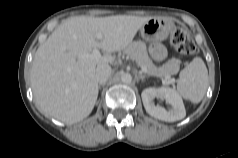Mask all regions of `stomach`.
I'll use <instances>...</instances> for the list:
<instances>
[{
    "instance_id": "0dacf381",
    "label": "stomach",
    "mask_w": 238,
    "mask_h": 158,
    "mask_svg": "<svg viewBox=\"0 0 238 158\" xmlns=\"http://www.w3.org/2000/svg\"><path fill=\"white\" fill-rule=\"evenodd\" d=\"M171 30L169 22L159 18H151L140 28V33L146 41H163L168 38Z\"/></svg>"
}]
</instances>
